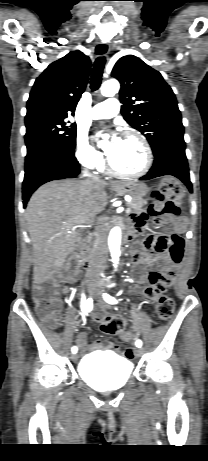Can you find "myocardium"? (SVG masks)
<instances>
[{"instance_id": "f54148a6", "label": "myocardium", "mask_w": 208, "mask_h": 461, "mask_svg": "<svg viewBox=\"0 0 208 461\" xmlns=\"http://www.w3.org/2000/svg\"><path fill=\"white\" fill-rule=\"evenodd\" d=\"M122 137H135L137 138L142 146H143V149H144V152H145V163H144V166L142 167L141 170L135 172V173H124V172H121L119 170H117L113 164L111 163V160L107 154L106 156V168L108 170L109 173L117 176V177H121V178H126V179H134V178H139V177H142L144 176L151 168L152 164H153V152H152V149H151V146L147 140V138L140 132L136 131V130H127L125 132H123L122 134Z\"/></svg>"}]
</instances>
